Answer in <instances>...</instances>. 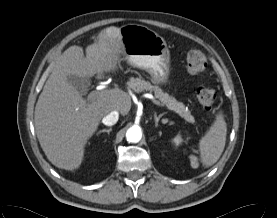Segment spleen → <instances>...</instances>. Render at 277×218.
I'll return each instance as SVG.
<instances>
[{"mask_svg":"<svg viewBox=\"0 0 277 218\" xmlns=\"http://www.w3.org/2000/svg\"><path fill=\"white\" fill-rule=\"evenodd\" d=\"M226 135L227 124L223 112L220 111L209 130L199 141L201 160L206 167L212 166L220 158L225 148ZM192 164L197 165L195 159H192Z\"/></svg>","mask_w":277,"mask_h":218,"instance_id":"obj_1","label":"spleen"}]
</instances>
